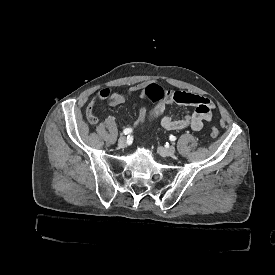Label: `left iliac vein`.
<instances>
[{"mask_svg":"<svg viewBox=\"0 0 275 275\" xmlns=\"http://www.w3.org/2000/svg\"><path fill=\"white\" fill-rule=\"evenodd\" d=\"M158 150L161 152V147H158ZM176 153V148L174 146H169L168 148H164L162 151L163 155H168V156H174Z\"/></svg>","mask_w":275,"mask_h":275,"instance_id":"1","label":"left iliac vein"}]
</instances>
